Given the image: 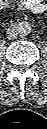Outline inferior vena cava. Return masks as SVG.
Instances as JSON below:
<instances>
[{"instance_id":"602c4592","label":"inferior vena cava","mask_w":47,"mask_h":129,"mask_svg":"<svg viewBox=\"0 0 47 129\" xmlns=\"http://www.w3.org/2000/svg\"><path fill=\"white\" fill-rule=\"evenodd\" d=\"M16 36H17V29L16 28L11 27L7 30V37L9 39H14Z\"/></svg>"}]
</instances>
